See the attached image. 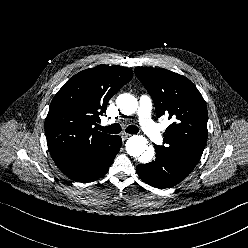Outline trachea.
Masks as SVG:
<instances>
[{
  "label": "trachea",
  "instance_id": "1",
  "mask_svg": "<svg viewBox=\"0 0 248 248\" xmlns=\"http://www.w3.org/2000/svg\"><path fill=\"white\" fill-rule=\"evenodd\" d=\"M100 130L110 134H117L120 133L122 129L119 124H112L110 126L100 127ZM138 131L139 129L136 126H128L126 128V132L130 134L138 133Z\"/></svg>",
  "mask_w": 248,
  "mask_h": 248
}]
</instances>
